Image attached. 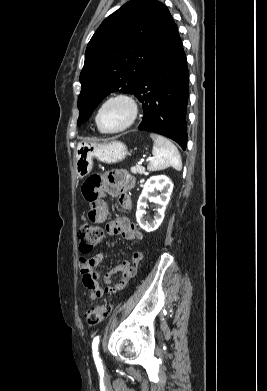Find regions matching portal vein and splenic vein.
Segmentation results:
<instances>
[{"instance_id":"portal-vein-and-splenic-vein-1","label":"portal vein and splenic vein","mask_w":267,"mask_h":391,"mask_svg":"<svg viewBox=\"0 0 267 391\" xmlns=\"http://www.w3.org/2000/svg\"><path fill=\"white\" fill-rule=\"evenodd\" d=\"M147 160H151V158H148ZM144 159H142L138 164H143Z\"/></svg>"}]
</instances>
